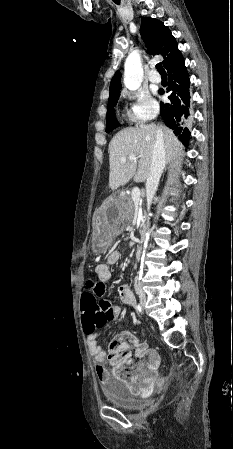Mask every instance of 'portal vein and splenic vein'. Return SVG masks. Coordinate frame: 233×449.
<instances>
[{"label":"portal vein and splenic vein","mask_w":233,"mask_h":449,"mask_svg":"<svg viewBox=\"0 0 233 449\" xmlns=\"http://www.w3.org/2000/svg\"><path fill=\"white\" fill-rule=\"evenodd\" d=\"M128 159H130V160H136L137 157H136L135 154H131V155L128 156ZM126 160H127L126 158H122V159H121V163H125ZM131 197H132L133 202H134L136 205H138L139 202L141 201V192H140V189H139L138 187H135V188L132 189Z\"/></svg>","instance_id":"portal-vein-and-splenic-vein-1"}]
</instances>
